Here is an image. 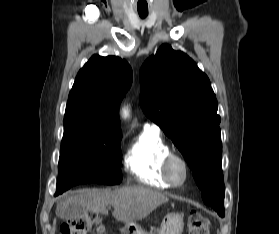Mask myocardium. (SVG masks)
Masks as SVG:
<instances>
[{
    "instance_id": "obj_1",
    "label": "myocardium",
    "mask_w": 279,
    "mask_h": 234,
    "mask_svg": "<svg viewBox=\"0 0 279 234\" xmlns=\"http://www.w3.org/2000/svg\"><path fill=\"white\" fill-rule=\"evenodd\" d=\"M176 163L180 164L183 169V177L181 180H176L173 176V166ZM162 170H163L164 178L173 187L182 186L189 177L188 163L186 159L178 153L169 152L165 156L162 164Z\"/></svg>"
}]
</instances>
